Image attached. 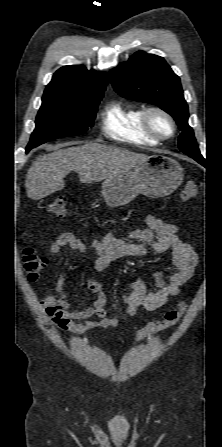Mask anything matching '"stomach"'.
Masks as SVG:
<instances>
[{
    "label": "stomach",
    "instance_id": "obj_1",
    "mask_svg": "<svg viewBox=\"0 0 222 447\" xmlns=\"http://www.w3.org/2000/svg\"><path fill=\"white\" fill-rule=\"evenodd\" d=\"M184 177L180 164L163 155H151L127 170L104 180L101 195L112 207L124 206L139 194L159 198L173 193Z\"/></svg>",
    "mask_w": 222,
    "mask_h": 447
}]
</instances>
